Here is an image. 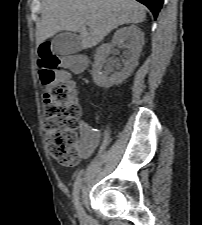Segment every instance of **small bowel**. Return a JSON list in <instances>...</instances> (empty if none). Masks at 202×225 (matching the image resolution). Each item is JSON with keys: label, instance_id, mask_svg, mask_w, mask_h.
<instances>
[{"label": "small bowel", "instance_id": "obj_1", "mask_svg": "<svg viewBox=\"0 0 202 225\" xmlns=\"http://www.w3.org/2000/svg\"><path fill=\"white\" fill-rule=\"evenodd\" d=\"M82 61L84 68L87 65V60ZM81 128L83 134L79 140L78 153L82 159H88L102 145L103 140L101 134L93 130L89 122L82 121Z\"/></svg>", "mask_w": 202, "mask_h": 225}]
</instances>
